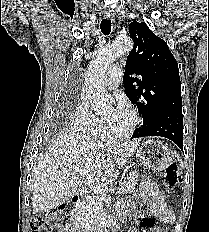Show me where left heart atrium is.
<instances>
[{
    "label": "left heart atrium",
    "instance_id": "obj_1",
    "mask_svg": "<svg viewBox=\"0 0 209 232\" xmlns=\"http://www.w3.org/2000/svg\"><path fill=\"white\" fill-rule=\"evenodd\" d=\"M126 105L124 103V101L120 98H118L116 100V110L115 112L116 113H121V112H124L126 109H125Z\"/></svg>",
    "mask_w": 209,
    "mask_h": 232
}]
</instances>
